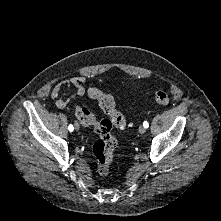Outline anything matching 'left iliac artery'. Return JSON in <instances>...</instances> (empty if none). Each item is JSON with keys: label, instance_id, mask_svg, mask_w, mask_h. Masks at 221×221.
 <instances>
[{"label": "left iliac artery", "instance_id": "obj_1", "mask_svg": "<svg viewBox=\"0 0 221 221\" xmlns=\"http://www.w3.org/2000/svg\"><path fill=\"white\" fill-rule=\"evenodd\" d=\"M143 126H144L145 128H148V127H149L148 122H147V121H144Z\"/></svg>", "mask_w": 221, "mask_h": 221}]
</instances>
